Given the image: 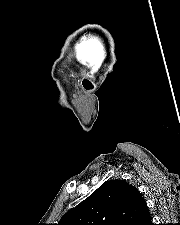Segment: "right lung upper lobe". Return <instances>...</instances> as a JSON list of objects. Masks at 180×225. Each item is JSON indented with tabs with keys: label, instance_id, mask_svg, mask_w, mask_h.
Here are the masks:
<instances>
[{
	"label": "right lung upper lobe",
	"instance_id": "1",
	"mask_svg": "<svg viewBox=\"0 0 180 225\" xmlns=\"http://www.w3.org/2000/svg\"><path fill=\"white\" fill-rule=\"evenodd\" d=\"M58 225H152L138 189L125 181L111 180L74 209Z\"/></svg>",
	"mask_w": 180,
	"mask_h": 225
}]
</instances>
